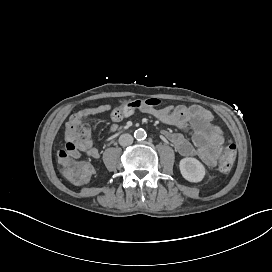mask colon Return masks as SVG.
I'll return each instance as SVG.
<instances>
[{
  "instance_id": "obj_1",
  "label": "colon",
  "mask_w": 272,
  "mask_h": 272,
  "mask_svg": "<svg viewBox=\"0 0 272 272\" xmlns=\"http://www.w3.org/2000/svg\"><path fill=\"white\" fill-rule=\"evenodd\" d=\"M161 100L158 98L148 99H131L122 100L120 106L110 112L112 121H119L126 118L130 112L139 108L156 107L160 105ZM92 108L82 109L69 116V121L66 125V142L64 146L57 151V157L61 160L58 169L61 174L71 178L75 184L81 185L86 182L87 176L90 174L91 167L88 162L81 161L72 163L69 161L72 157H77L79 149L89 150L94 147V138L90 135V127L84 122H80L84 117L93 114ZM79 120V121H78ZM219 171H229L235 160L236 145L230 137H227L226 146L218 153Z\"/></svg>"
}]
</instances>
